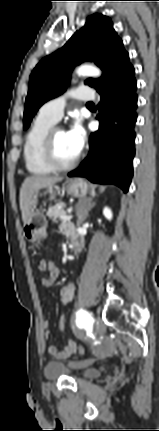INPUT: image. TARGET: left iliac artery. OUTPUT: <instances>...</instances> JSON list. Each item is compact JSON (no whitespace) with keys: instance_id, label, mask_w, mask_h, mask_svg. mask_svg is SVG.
Returning a JSON list of instances; mask_svg holds the SVG:
<instances>
[{"instance_id":"left-iliac-artery-1","label":"left iliac artery","mask_w":159,"mask_h":431,"mask_svg":"<svg viewBox=\"0 0 159 431\" xmlns=\"http://www.w3.org/2000/svg\"><path fill=\"white\" fill-rule=\"evenodd\" d=\"M77 316V324L80 326H91L93 323V318L90 313L86 310L80 309L76 313Z\"/></svg>"}]
</instances>
